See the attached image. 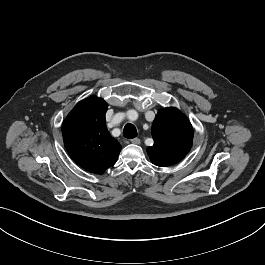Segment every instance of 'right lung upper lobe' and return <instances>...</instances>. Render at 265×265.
Masks as SVG:
<instances>
[{
	"label": "right lung upper lobe",
	"mask_w": 265,
	"mask_h": 265,
	"mask_svg": "<svg viewBox=\"0 0 265 265\" xmlns=\"http://www.w3.org/2000/svg\"><path fill=\"white\" fill-rule=\"evenodd\" d=\"M107 103L90 96L68 114L62 125L64 145L75 163L85 170L103 174L118 158L121 145L107 130Z\"/></svg>",
	"instance_id": "right-lung-upper-lobe-1"
}]
</instances>
